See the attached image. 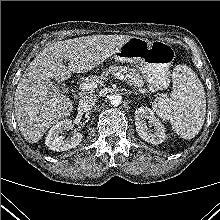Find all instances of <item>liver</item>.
Returning <instances> with one entry per match:
<instances>
[{
    "label": "liver",
    "mask_w": 220,
    "mask_h": 220,
    "mask_svg": "<svg viewBox=\"0 0 220 220\" xmlns=\"http://www.w3.org/2000/svg\"><path fill=\"white\" fill-rule=\"evenodd\" d=\"M131 36L94 35L57 41L40 52L25 70L15 92V116L29 143L38 142L59 120L68 117L73 101L57 83L72 73H85L114 55ZM64 61H69L68 67Z\"/></svg>",
    "instance_id": "6515ba94"
}]
</instances>
